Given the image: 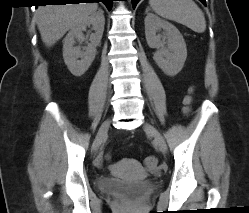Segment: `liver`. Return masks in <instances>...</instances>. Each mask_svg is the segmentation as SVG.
Listing matches in <instances>:
<instances>
[{
  "mask_svg": "<svg viewBox=\"0 0 249 213\" xmlns=\"http://www.w3.org/2000/svg\"><path fill=\"white\" fill-rule=\"evenodd\" d=\"M97 9L96 2L39 6L35 17L42 41L51 47L69 29L94 14Z\"/></svg>",
  "mask_w": 249,
  "mask_h": 213,
  "instance_id": "liver-1",
  "label": "liver"
}]
</instances>
